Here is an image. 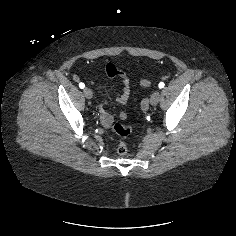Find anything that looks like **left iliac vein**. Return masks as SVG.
Segmentation results:
<instances>
[{
	"mask_svg": "<svg viewBox=\"0 0 236 236\" xmlns=\"http://www.w3.org/2000/svg\"><path fill=\"white\" fill-rule=\"evenodd\" d=\"M159 100H160V92L159 91L153 92L151 97H150L151 105H153V106L157 105Z\"/></svg>",
	"mask_w": 236,
	"mask_h": 236,
	"instance_id": "4c4485c4",
	"label": "left iliac vein"
}]
</instances>
